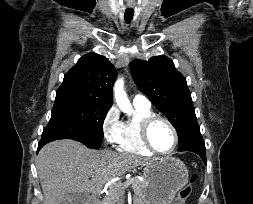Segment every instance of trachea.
<instances>
[{
  "label": "trachea",
  "mask_w": 253,
  "mask_h": 204,
  "mask_svg": "<svg viewBox=\"0 0 253 204\" xmlns=\"http://www.w3.org/2000/svg\"><path fill=\"white\" fill-rule=\"evenodd\" d=\"M133 15H134V10L133 8H127L125 10V14H124V19L127 23H130L131 20L133 19Z\"/></svg>",
  "instance_id": "3493384b"
}]
</instances>
